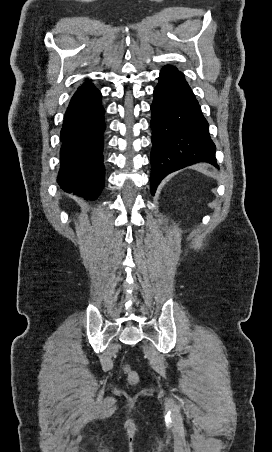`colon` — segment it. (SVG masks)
<instances>
[{
	"label": "colon",
	"instance_id": "5ec220e1",
	"mask_svg": "<svg viewBox=\"0 0 272 452\" xmlns=\"http://www.w3.org/2000/svg\"><path fill=\"white\" fill-rule=\"evenodd\" d=\"M123 371L127 374L129 380L134 383L137 380V374L131 369L130 366L124 365Z\"/></svg>",
	"mask_w": 272,
	"mask_h": 452
}]
</instances>
